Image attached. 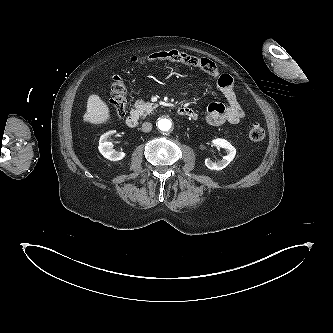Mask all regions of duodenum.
I'll use <instances>...</instances> for the list:
<instances>
[{"label": "duodenum", "instance_id": "duodenum-1", "mask_svg": "<svg viewBox=\"0 0 333 333\" xmlns=\"http://www.w3.org/2000/svg\"><path fill=\"white\" fill-rule=\"evenodd\" d=\"M184 111H185L184 107L178 108V113L179 114L183 115ZM126 125L129 128H135L138 125V117L135 113H131L130 115L127 116Z\"/></svg>", "mask_w": 333, "mask_h": 333}]
</instances>
